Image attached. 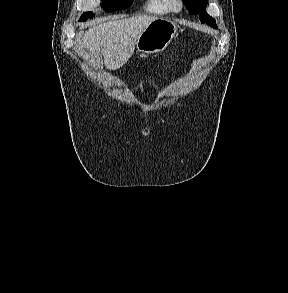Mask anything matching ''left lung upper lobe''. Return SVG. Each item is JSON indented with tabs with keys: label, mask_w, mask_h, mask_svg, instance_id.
Listing matches in <instances>:
<instances>
[{
	"label": "left lung upper lobe",
	"mask_w": 288,
	"mask_h": 293,
	"mask_svg": "<svg viewBox=\"0 0 288 293\" xmlns=\"http://www.w3.org/2000/svg\"><path fill=\"white\" fill-rule=\"evenodd\" d=\"M190 14H200V21L217 29L215 20L206 12L208 0H183Z\"/></svg>",
	"instance_id": "1"
}]
</instances>
